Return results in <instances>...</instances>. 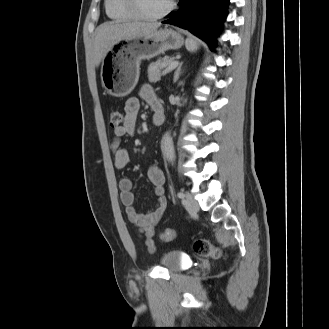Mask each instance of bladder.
<instances>
[{"label":"bladder","instance_id":"bladder-1","mask_svg":"<svg viewBox=\"0 0 329 329\" xmlns=\"http://www.w3.org/2000/svg\"><path fill=\"white\" fill-rule=\"evenodd\" d=\"M160 264L170 271H181L185 268V259L179 251H168L161 256Z\"/></svg>","mask_w":329,"mask_h":329}]
</instances>
